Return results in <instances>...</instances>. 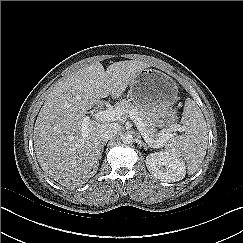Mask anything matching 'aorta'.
<instances>
[{"label":"aorta","instance_id":"obj_1","mask_svg":"<svg viewBox=\"0 0 243 243\" xmlns=\"http://www.w3.org/2000/svg\"><path fill=\"white\" fill-rule=\"evenodd\" d=\"M134 141V137L131 134H124L122 136V142L124 144H131Z\"/></svg>","mask_w":243,"mask_h":243}]
</instances>
